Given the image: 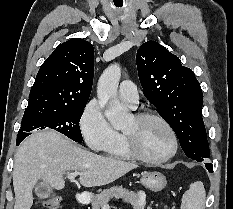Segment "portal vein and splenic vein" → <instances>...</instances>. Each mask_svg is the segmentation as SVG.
<instances>
[{
	"instance_id": "18ae733b",
	"label": "portal vein and splenic vein",
	"mask_w": 233,
	"mask_h": 209,
	"mask_svg": "<svg viewBox=\"0 0 233 209\" xmlns=\"http://www.w3.org/2000/svg\"><path fill=\"white\" fill-rule=\"evenodd\" d=\"M78 175H80L79 172H74V173H69V174L67 175V177H68L70 180H73V179H75V177L78 176ZM103 209H109V205H108V204L105 205Z\"/></svg>"
}]
</instances>
